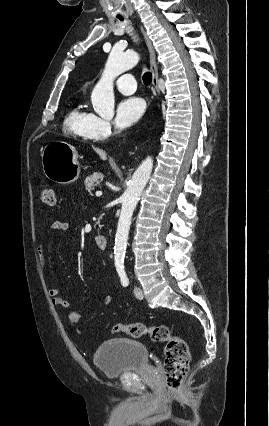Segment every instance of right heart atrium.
I'll return each mask as SVG.
<instances>
[{"mask_svg": "<svg viewBox=\"0 0 269 426\" xmlns=\"http://www.w3.org/2000/svg\"><path fill=\"white\" fill-rule=\"evenodd\" d=\"M113 134V129L109 121L95 116L93 123V136L97 140H104Z\"/></svg>", "mask_w": 269, "mask_h": 426, "instance_id": "d8ad5b80", "label": "right heart atrium"}]
</instances>
